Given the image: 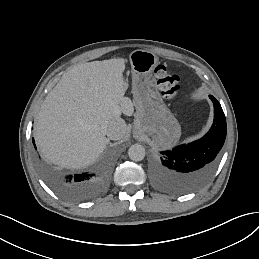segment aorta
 I'll use <instances>...</instances> for the list:
<instances>
[{"instance_id": "762f6f07", "label": "aorta", "mask_w": 259, "mask_h": 259, "mask_svg": "<svg viewBox=\"0 0 259 259\" xmlns=\"http://www.w3.org/2000/svg\"><path fill=\"white\" fill-rule=\"evenodd\" d=\"M145 148L140 144L131 145L128 150L129 158L132 161H141L145 157Z\"/></svg>"}]
</instances>
